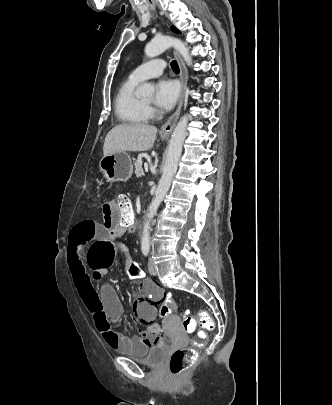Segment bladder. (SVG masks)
<instances>
[{
    "instance_id": "bladder-1",
    "label": "bladder",
    "mask_w": 332,
    "mask_h": 405,
    "mask_svg": "<svg viewBox=\"0 0 332 405\" xmlns=\"http://www.w3.org/2000/svg\"><path fill=\"white\" fill-rule=\"evenodd\" d=\"M167 345L163 342L155 343L151 346L143 348L141 353L134 351L133 349H120L119 352L131 357L132 359L145 363L150 366H156L161 364L167 355Z\"/></svg>"
}]
</instances>
